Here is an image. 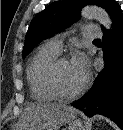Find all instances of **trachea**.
I'll use <instances>...</instances> for the list:
<instances>
[{"instance_id":"3493384b","label":"trachea","mask_w":123,"mask_h":130,"mask_svg":"<svg viewBox=\"0 0 123 130\" xmlns=\"http://www.w3.org/2000/svg\"><path fill=\"white\" fill-rule=\"evenodd\" d=\"M94 41H100L99 39H95Z\"/></svg>"}]
</instances>
